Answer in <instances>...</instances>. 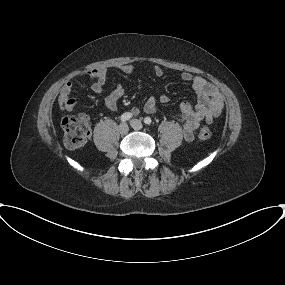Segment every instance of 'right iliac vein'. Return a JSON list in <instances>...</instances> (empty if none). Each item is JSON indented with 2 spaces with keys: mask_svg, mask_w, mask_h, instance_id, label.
Segmentation results:
<instances>
[{
  "mask_svg": "<svg viewBox=\"0 0 285 285\" xmlns=\"http://www.w3.org/2000/svg\"><path fill=\"white\" fill-rule=\"evenodd\" d=\"M118 130H119V133L121 135H126L128 133V131H129V127H128V125L126 123H122V124H120Z\"/></svg>",
  "mask_w": 285,
  "mask_h": 285,
  "instance_id": "obj_1",
  "label": "right iliac vein"
}]
</instances>
